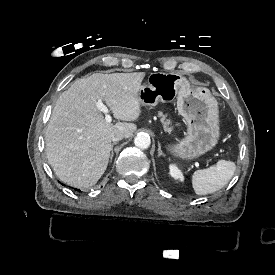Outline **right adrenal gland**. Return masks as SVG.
Returning a JSON list of instances; mask_svg holds the SVG:
<instances>
[{"label": "right adrenal gland", "mask_w": 275, "mask_h": 275, "mask_svg": "<svg viewBox=\"0 0 275 275\" xmlns=\"http://www.w3.org/2000/svg\"><path fill=\"white\" fill-rule=\"evenodd\" d=\"M116 144H117V142H113L112 145H111L110 163L112 162L113 155H114L113 147H114V145H116Z\"/></svg>", "instance_id": "obj_1"}]
</instances>
